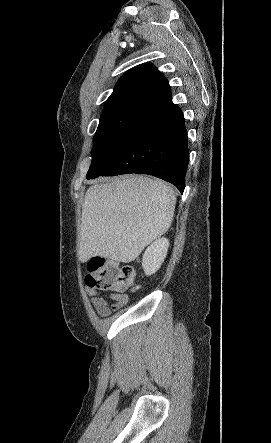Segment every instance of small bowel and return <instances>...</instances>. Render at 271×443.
I'll list each match as a JSON object with an SVG mask.
<instances>
[{"label":"small bowel","instance_id":"small-bowel-1","mask_svg":"<svg viewBox=\"0 0 271 443\" xmlns=\"http://www.w3.org/2000/svg\"><path fill=\"white\" fill-rule=\"evenodd\" d=\"M86 293L91 297V303L94 306L96 312L101 317L109 316L113 311L119 310L127 303V297L125 295L112 296V303H109L96 289L86 286Z\"/></svg>","mask_w":271,"mask_h":443}]
</instances>
